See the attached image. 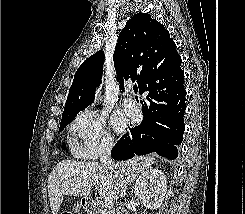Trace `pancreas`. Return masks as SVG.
I'll list each match as a JSON object with an SVG mask.
<instances>
[{"label": "pancreas", "instance_id": "cf45deb5", "mask_svg": "<svg viewBox=\"0 0 245 214\" xmlns=\"http://www.w3.org/2000/svg\"><path fill=\"white\" fill-rule=\"evenodd\" d=\"M109 209L106 207H100L98 210V214H109Z\"/></svg>", "mask_w": 245, "mask_h": 214}]
</instances>
